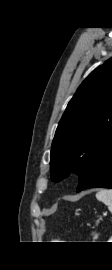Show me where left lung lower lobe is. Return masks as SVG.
I'll return each mask as SVG.
<instances>
[{
  "label": "left lung lower lobe",
  "mask_w": 112,
  "mask_h": 270,
  "mask_svg": "<svg viewBox=\"0 0 112 270\" xmlns=\"http://www.w3.org/2000/svg\"><path fill=\"white\" fill-rule=\"evenodd\" d=\"M94 187L112 188V146L104 154L95 170L79 183L77 192Z\"/></svg>",
  "instance_id": "0a47b994"
}]
</instances>
